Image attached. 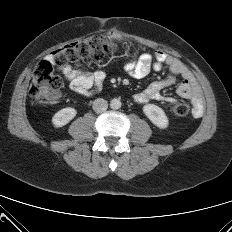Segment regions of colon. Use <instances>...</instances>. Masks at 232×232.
Here are the masks:
<instances>
[{
    "label": "colon",
    "mask_w": 232,
    "mask_h": 232,
    "mask_svg": "<svg viewBox=\"0 0 232 232\" xmlns=\"http://www.w3.org/2000/svg\"><path fill=\"white\" fill-rule=\"evenodd\" d=\"M119 48L116 40L106 36L89 37L52 52L48 60L37 64L29 82V97L32 103L39 104L53 98L62 86L61 79L54 73V66L91 65L101 62L105 56ZM171 112L177 117L189 115L190 108L185 103H175Z\"/></svg>",
    "instance_id": "5ec220e1"
}]
</instances>
